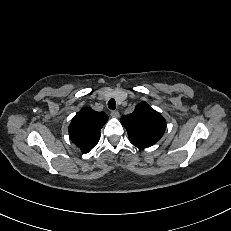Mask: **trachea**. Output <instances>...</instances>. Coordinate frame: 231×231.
I'll use <instances>...</instances> for the list:
<instances>
[{"mask_svg":"<svg viewBox=\"0 0 231 231\" xmlns=\"http://www.w3.org/2000/svg\"><path fill=\"white\" fill-rule=\"evenodd\" d=\"M108 107L109 109L111 110H115L116 108V102L113 98H111L109 101H108Z\"/></svg>","mask_w":231,"mask_h":231,"instance_id":"3493384b","label":"trachea"}]
</instances>
